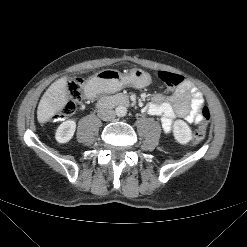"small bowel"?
Instances as JSON below:
<instances>
[{
    "mask_svg": "<svg viewBox=\"0 0 247 247\" xmlns=\"http://www.w3.org/2000/svg\"><path fill=\"white\" fill-rule=\"evenodd\" d=\"M87 95L92 97V91L89 90ZM203 109L202 93L192 83L186 81L175 90L168 101H165L160 94L155 95L152 102L145 107V112L159 116L164 132L169 134L177 118L193 124L200 123Z\"/></svg>",
    "mask_w": 247,
    "mask_h": 247,
    "instance_id": "c3829d8e",
    "label": "small bowel"
}]
</instances>
